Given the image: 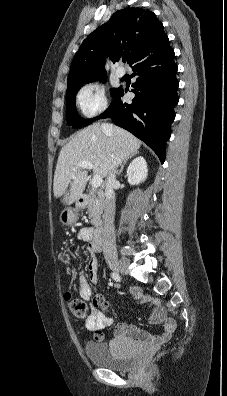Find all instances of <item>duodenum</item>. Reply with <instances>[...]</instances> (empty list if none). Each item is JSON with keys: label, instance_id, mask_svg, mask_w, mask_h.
Masks as SVG:
<instances>
[{"label": "duodenum", "instance_id": "1", "mask_svg": "<svg viewBox=\"0 0 227 396\" xmlns=\"http://www.w3.org/2000/svg\"><path fill=\"white\" fill-rule=\"evenodd\" d=\"M89 197H90L89 194L80 195L76 200V205L78 207H84L87 204ZM92 240L97 248H99V249L103 248L104 239H103L102 228L98 227V228L94 229V231H92Z\"/></svg>", "mask_w": 227, "mask_h": 396}]
</instances>
